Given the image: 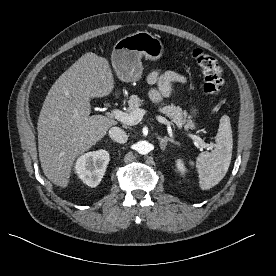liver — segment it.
<instances>
[{"label":"liver","mask_w":276,"mask_h":276,"mask_svg":"<svg viewBox=\"0 0 276 276\" xmlns=\"http://www.w3.org/2000/svg\"><path fill=\"white\" fill-rule=\"evenodd\" d=\"M114 78L107 59L92 52L81 56L52 85L39 114L38 151L45 176L67 187L78 156L92 148L117 124L90 115L91 98L108 96Z\"/></svg>","instance_id":"6515ba94"}]
</instances>
